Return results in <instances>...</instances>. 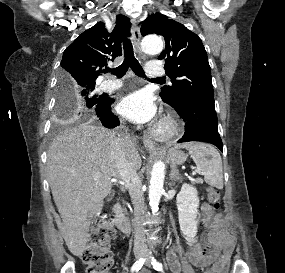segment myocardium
Listing matches in <instances>:
<instances>
[{
  "label": "myocardium",
  "instance_id": "f54148a6",
  "mask_svg": "<svg viewBox=\"0 0 285 273\" xmlns=\"http://www.w3.org/2000/svg\"><path fill=\"white\" fill-rule=\"evenodd\" d=\"M180 131V121L174 114L168 113L151 129L150 135L157 141H168L175 138Z\"/></svg>",
  "mask_w": 285,
  "mask_h": 273
}]
</instances>
